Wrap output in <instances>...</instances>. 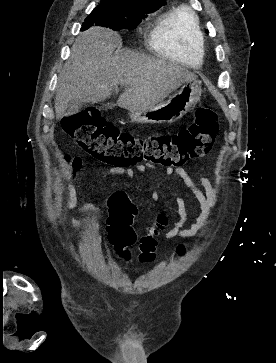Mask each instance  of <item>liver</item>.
I'll return each mask as SVG.
<instances>
[{"mask_svg":"<svg viewBox=\"0 0 276 363\" xmlns=\"http://www.w3.org/2000/svg\"><path fill=\"white\" fill-rule=\"evenodd\" d=\"M120 36L93 27L79 34L58 77L56 119L72 115L70 103H98L111 96L118 85L126 90L117 105L127 110L148 109L162 102L183 83L196 76L182 65L134 51L113 55Z\"/></svg>","mask_w":276,"mask_h":363,"instance_id":"liver-1","label":"liver"}]
</instances>
